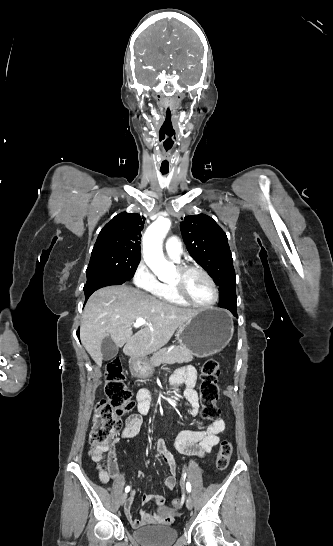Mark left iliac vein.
I'll list each match as a JSON object with an SVG mask.
<instances>
[{
	"label": "left iliac vein",
	"instance_id": "4c4485c4",
	"mask_svg": "<svg viewBox=\"0 0 333 546\" xmlns=\"http://www.w3.org/2000/svg\"><path fill=\"white\" fill-rule=\"evenodd\" d=\"M186 507H187L188 509H192V507H193V500H192L191 497H188V498H187V500H186Z\"/></svg>",
	"mask_w": 333,
	"mask_h": 546
}]
</instances>
